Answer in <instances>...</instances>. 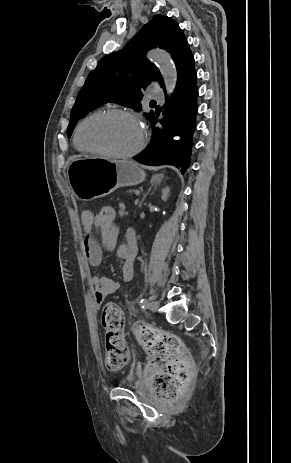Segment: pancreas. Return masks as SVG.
I'll list each match as a JSON object with an SVG mask.
<instances>
[{"label": "pancreas", "instance_id": "pancreas-1", "mask_svg": "<svg viewBox=\"0 0 291 463\" xmlns=\"http://www.w3.org/2000/svg\"><path fill=\"white\" fill-rule=\"evenodd\" d=\"M135 190L134 189H127L124 194L128 197H131L134 194Z\"/></svg>", "mask_w": 291, "mask_h": 463}]
</instances>
